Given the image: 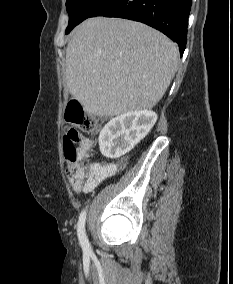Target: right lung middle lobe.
<instances>
[{
	"mask_svg": "<svg viewBox=\"0 0 233 284\" xmlns=\"http://www.w3.org/2000/svg\"><path fill=\"white\" fill-rule=\"evenodd\" d=\"M106 1L108 0H67L66 9L69 14V23L65 33L68 34Z\"/></svg>",
	"mask_w": 233,
	"mask_h": 284,
	"instance_id": "1",
	"label": "right lung middle lobe"
}]
</instances>
